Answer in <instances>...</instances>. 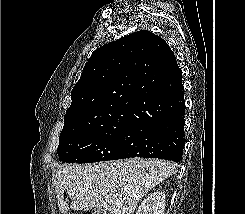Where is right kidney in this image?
Masks as SVG:
<instances>
[{
  "label": "right kidney",
  "mask_w": 245,
  "mask_h": 214,
  "mask_svg": "<svg viewBox=\"0 0 245 214\" xmlns=\"http://www.w3.org/2000/svg\"><path fill=\"white\" fill-rule=\"evenodd\" d=\"M165 200L164 192H154L142 201L136 214H164Z\"/></svg>",
  "instance_id": "ca27d5eb"
}]
</instances>
